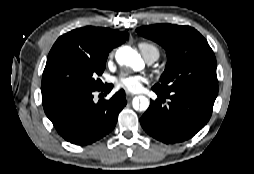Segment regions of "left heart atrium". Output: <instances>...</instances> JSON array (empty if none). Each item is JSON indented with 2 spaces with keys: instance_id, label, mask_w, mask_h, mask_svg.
Wrapping results in <instances>:
<instances>
[{
  "instance_id": "1",
  "label": "left heart atrium",
  "mask_w": 254,
  "mask_h": 174,
  "mask_svg": "<svg viewBox=\"0 0 254 174\" xmlns=\"http://www.w3.org/2000/svg\"><path fill=\"white\" fill-rule=\"evenodd\" d=\"M146 82V77L137 74H123L116 79L117 86L129 92L141 91Z\"/></svg>"
}]
</instances>
